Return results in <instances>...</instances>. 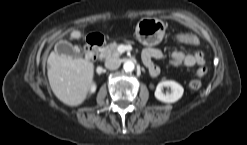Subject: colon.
I'll return each mask as SVG.
<instances>
[{
    "mask_svg": "<svg viewBox=\"0 0 247 145\" xmlns=\"http://www.w3.org/2000/svg\"><path fill=\"white\" fill-rule=\"evenodd\" d=\"M180 36H181V34H178L176 36V38L178 39ZM206 72H207L206 66H202L200 69H198V71H197L198 79L191 80L189 82V88L192 90L199 89L202 86V81L200 78L203 77L206 74Z\"/></svg>",
    "mask_w": 247,
    "mask_h": 145,
    "instance_id": "5ec220e1",
    "label": "colon"
}]
</instances>
